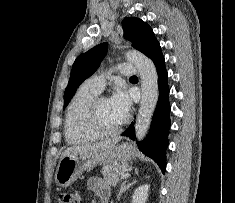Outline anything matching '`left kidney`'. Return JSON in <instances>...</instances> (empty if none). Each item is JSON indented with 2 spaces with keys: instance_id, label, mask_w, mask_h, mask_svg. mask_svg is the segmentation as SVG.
<instances>
[{
  "instance_id": "5707ae66",
  "label": "left kidney",
  "mask_w": 235,
  "mask_h": 203,
  "mask_svg": "<svg viewBox=\"0 0 235 203\" xmlns=\"http://www.w3.org/2000/svg\"><path fill=\"white\" fill-rule=\"evenodd\" d=\"M150 185L144 184L136 188L132 196V203H146Z\"/></svg>"
}]
</instances>
